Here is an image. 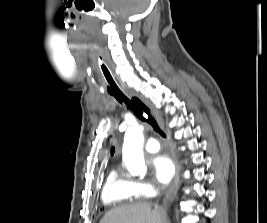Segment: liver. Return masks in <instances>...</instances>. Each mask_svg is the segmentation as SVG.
<instances>
[{
  "label": "liver",
  "mask_w": 267,
  "mask_h": 223,
  "mask_svg": "<svg viewBox=\"0 0 267 223\" xmlns=\"http://www.w3.org/2000/svg\"><path fill=\"white\" fill-rule=\"evenodd\" d=\"M164 210L147 202L121 205L106 212L100 223H163Z\"/></svg>",
  "instance_id": "1"
}]
</instances>
